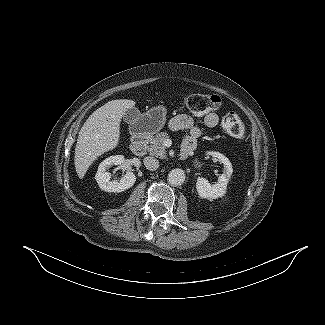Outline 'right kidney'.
I'll use <instances>...</instances> for the list:
<instances>
[{"label": "right kidney", "mask_w": 325, "mask_h": 325, "mask_svg": "<svg viewBox=\"0 0 325 325\" xmlns=\"http://www.w3.org/2000/svg\"><path fill=\"white\" fill-rule=\"evenodd\" d=\"M123 163L124 156L122 155L110 156L100 163L95 179L102 190L119 193L134 185L136 176L133 172L127 171L120 181H111V174L106 171L113 165H122Z\"/></svg>", "instance_id": "right-kidney-1"}]
</instances>
